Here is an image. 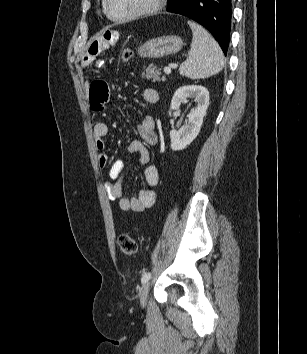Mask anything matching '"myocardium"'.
<instances>
[{
  "label": "myocardium",
  "instance_id": "myocardium-1",
  "mask_svg": "<svg viewBox=\"0 0 307 354\" xmlns=\"http://www.w3.org/2000/svg\"><path fill=\"white\" fill-rule=\"evenodd\" d=\"M164 0H152L150 2V4L148 6H146L145 8H143L140 11H137L135 13H132L130 15H126V16H114L109 9V0H103V10L106 14V16L115 22H128V21H132V20H136L142 17H146L149 16L155 12H157L162 4H163Z\"/></svg>",
  "mask_w": 307,
  "mask_h": 354
}]
</instances>
